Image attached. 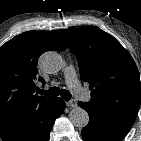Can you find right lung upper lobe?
Returning a JSON list of instances; mask_svg holds the SVG:
<instances>
[{"label": "right lung upper lobe", "instance_id": "1", "mask_svg": "<svg viewBox=\"0 0 141 141\" xmlns=\"http://www.w3.org/2000/svg\"><path fill=\"white\" fill-rule=\"evenodd\" d=\"M65 41L55 31H28L0 47V127L22 112L47 105L52 98L35 94L37 60L45 51H63ZM39 81L44 80L39 77Z\"/></svg>", "mask_w": 141, "mask_h": 141}]
</instances>
